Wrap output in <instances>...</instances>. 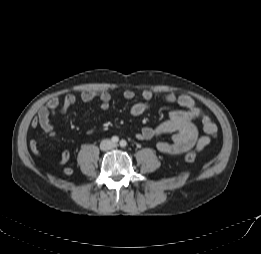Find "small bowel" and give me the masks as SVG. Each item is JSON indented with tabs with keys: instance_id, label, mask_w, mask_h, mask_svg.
Segmentation results:
<instances>
[{
	"instance_id": "1",
	"label": "small bowel",
	"mask_w": 261,
	"mask_h": 254,
	"mask_svg": "<svg viewBox=\"0 0 261 254\" xmlns=\"http://www.w3.org/2000/svg\"><path fill=\"white\" fill-rule=\"evenodd\" d=\"M123 96L127 100H132L135 97V92L131 89L124 91ZM98 98L101 102V109L105 112L110 109L111 94L107 91H83L79 98L75 95H66L63 99L53 97L48 103L41 107L32 121V127H40L48 136L55 138L56 130L51 122L52 116L56 111L64 114L68 109L76 105L79 101L88 103ZM143 101L137 102L130 107V114L138 117L148 111L153 103L155 95L150 90H145L142 93ZM161 100L165 103L175 104L182 109L173 110L169 113L168 118L155 127H144L137 134L139 140H151L165 134H171V140H161L157 142V150L168 156L181 155L190 149L197 152L204 150L216 137L218 128L211 120L209 115L199 108L194 100L187 95H176L166 93L162 95ZM195 120H199L202 124L204 135H201ZM29 147L34 155H39V145L36 139H31ZM70 159V153L66 150L62 151L59 164L65 165ZM64 173L71 175L72 170L65 168Z\"/></svg>"
}]
</instances>
